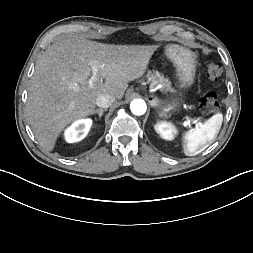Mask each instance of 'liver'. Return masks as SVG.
<instances>
[{
  "label": "liver",
  "instance_id": "6515ba94",
  "mask_svg": "<svg viewBox=\"0 0 253 253\" xmlns=\"http://www.w3.org/2000/svg\"><path fill=\"white\" fill-rule=\"evenodd\" d=\"M157 45H113L69 37L52 44L37 61L30 80L26 118L40 146L52 151L61 132L95 111L96 99H122L128 82L146 71ZM91 62L99 77L91 88ZM77 85L78 89H72Z\"/></svg>",
  "mask_w": 253,
  "mask_h": 253
}]
</instances>
